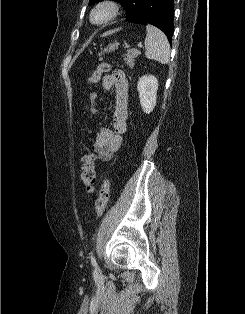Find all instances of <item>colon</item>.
Here are the masks:
<instances>
[{
	"mask_svg": "<svg viewBox=\"0 0 245 314\" xmlns=\"http://www.w3.org/2000/svg\"><path fill=\"white\" fill-rule=\"evenodd\" d=\"M110 70V65L107 62H102L99 64L97 69L89 77V85L95 86L101 78V75ZM96 98L97 94L95 91L90 92V113H96ZM81 180L87 192H91L96 183V167H95V156L93 154H85L82 158V171H81ZM110 194V182L108 178H105L99 193V197L96 202V215L101 217L105 207L109 200Z\"/></svg>",
	"mask_w": 245,
	"mask_h": 314,
	"instance_id": "5ec220e1",
	"label": "colon"
}]
</instances>
